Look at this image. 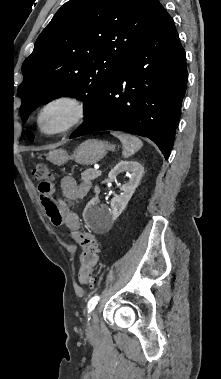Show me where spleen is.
Returning a JSON list of instances; mask_svg holds the SVG:
<instances>
[{"mask_svg": "<svg viewBox=\"0 0 221 379\" xmlns=\"http://www.w3.org/2000/svg\"><path fill=\"white\" fill-rule=\"evenodd\" d=\"M112 134L121 141L123 145L122 155L124 158L135 154L143 145L142 141L136 136L121 132H113Z\"/></svg>", "mask_w": 221, "mask_h": 379, "instance_id": "3e777b00", "label": "spleen"}]
</instances>
